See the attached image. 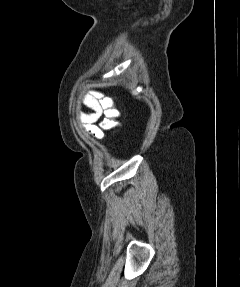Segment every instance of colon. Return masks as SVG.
Wrapping results in <instances>:
<instances>
[{
    "mask_svg": "<svg viewBox=\"0 0 240 287\" xmlns=\"http://www.w3.org/2000/svg\"><path fill=\"white\" fill-rule=\"evenodd\" d=\"M96 100L103 115L100 127L105 131L117 128L119 126L120 112L114 107L113 101L108 97L102 96H97Z\"/></svg>",
    "mask_w": 240,
    "mask_h": 287,
    "instance_id": "colon-1",
    "label": "colon"
}]
</instances>
